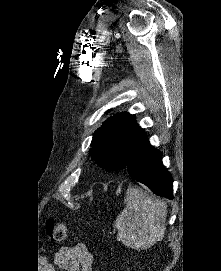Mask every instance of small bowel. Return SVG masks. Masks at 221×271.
Returning a JSON list of instances; mask_svg holds the SVG:
<instances>
[{
  "label": "small bowel",
  "instance_id": "1",
  "mask_svg": "<svg viewBox=\"0 0 221 271\" xmlns=\"http://www.w3.org/2000/svg\"><path fill=\"white\" fill-rule=\"evenodd\" d=\"M55 263L65 271H93L94 257L83 243L63 246L56 254Z\"/></svg>",
  "mask_w": 221,
  "mask_h": 271
}]
</instances>
